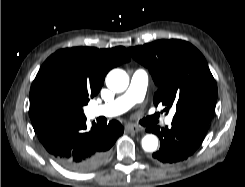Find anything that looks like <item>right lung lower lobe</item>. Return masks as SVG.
<instances>
[{"label":"right lung lower lobe","instance_id":"obj_1","mask_svg":"<svg viewBox=\"0 0 245 187\" xmlns=\"http://www.w3.org/2000/svg\"><path fill=\"white\" fill-rule=\"evenodd\" d=\"M123 127L118 121L108 126H86V117L52 122L37 132L40 142L50 156L64 168L75 172H88L102 166L109 150Z\"/></svg>","mask_w":245,"mask_h":187}]
</instances>
